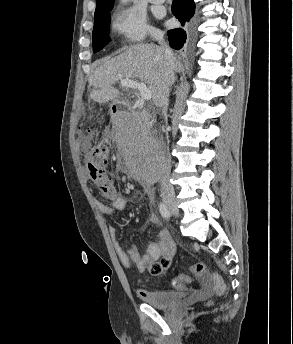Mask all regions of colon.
<instances>
[{"label": "colon", "mask_w": 293, "mask_h": 344, "mask_svg": "<svg viewBox=\"0 0 293 344\" xmlns=\"http://www.w3.org/2000/svg\"><path fill=\"white\" fill-rule=\"evenodd\" d=\"M111 145L108 139L100 140L91 151L87 167L90 178L98 187L103 196L114 199L118 192L114 179L109 175L107 168L109 165ZM189 272L200 278H207L214 284L215 293L222 295L226 291V285L221 277L214 273H207L206 266L203 263H197L189 269ZM189 280L187 274H183L173 280V285L181 287Z\"/></svg>", "instance_id": "1"}]
</instances>
